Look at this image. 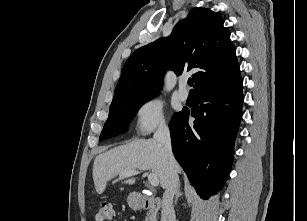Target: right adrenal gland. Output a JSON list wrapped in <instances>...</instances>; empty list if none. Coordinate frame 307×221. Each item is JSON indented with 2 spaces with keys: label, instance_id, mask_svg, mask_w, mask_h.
Listing matches in <instances>:
<instances>
[{
  "label": "right adrenal gland",
  "instance_id": "obj_1",
  "mask_svg": "<svg viewBox=\"0 0 307 221\" xmlns=\"http://www.w3.org/2000/svg\"><path fill=\"white\" fill-rule=\"evenodd\" d=\"M182 195V192H180V185L178 186L177 192L175 194V200L174 203L177 202L178 198Z\"/></svg>",
  "mask_w": 307,
  "mask_h": 221
}]
</instances>
